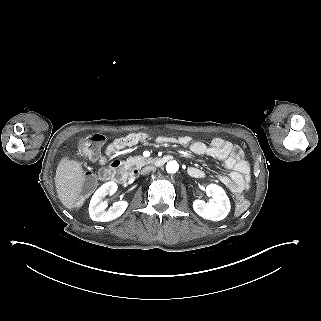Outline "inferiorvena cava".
Wrapping results in <instances>:
<instances>
[{"label":"inferior vena cava","instance_id":"1","mask_svg":"<svg viewBox=\"0 0 321 321\" xmlns=\"http://www.w3.org/2000/svg\"><path fill=\"white\" fill-rule=\"evenodd\" d=\"M156 168L154 166H146L141 170V175H147L148 173L155 171Z\"/></svg>","mask_w":321,"mask_h":321}]
</instances>
